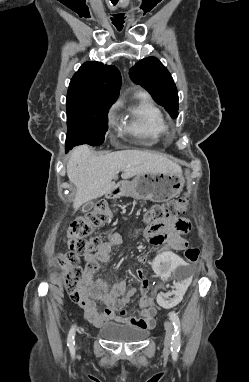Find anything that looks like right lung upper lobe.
Masks as SVG:
<instances>
[{
    "label": "right lung upper lobe",
    "mask_w": 249,
    "mask_h": 382,
    "mask_svg": "<svg viewBox=\"0 0 249 382\" xmlns=\"http://www.w3.org/2000/svg\"><path fill=\"white\" fill-rule=\"evenodd\" d=\"M121 75L115 66L86 62L74 74L67 93V110L76 106L106 101L115 102L119 95Z\"/></svg>",
    "instance_id": "right-lung-upper-lobe-1"
}]
</instances>
